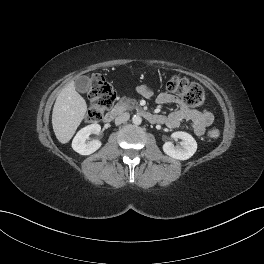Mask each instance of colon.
<instances>
[{"instance_id": "obj_1", "label": "colon", "mask_w": 264, "mask_h": 264, "mask_svg": "<svg viewBox=\"0 0 264 264\" xmlns=\"http://www.w3.org/2000/svg\"><path fill=\"white\" fill-rule=\"evenodd\" d=\"M166 89L180 96L188 106H199L204 101V90L199 84L177 75H173L167 80ZM88 97L90 103L86 120L97 122L102 119L105 111L113 106L116 93L104 76L96 74L90 80ZM219 134V130L213 127L207 131L206 137L208 140H215Z\"/></svg>"}]
</instances>
